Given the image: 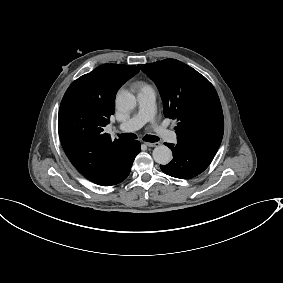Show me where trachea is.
<instances>
[{
    "label": "trachea",
    "mask_w": 283,
    "mask_h": 283,
    "mask_svg": "<svg viewBox=\"0 0 283 283\" xmlns=\"http://www.w3.org/2000/svg\"><path fill=\"white\" fill-rule=\"evenodd\" d=\"M118 136L120 138L130 139V140L137 138L136 135L133 134V133H122V134H119ZM143 139H144V141H147V142H157V141L160 140V138L155 136V135H145Z\"/></svg>",
    "instance_id": "obj_1"
}]
</instances>
